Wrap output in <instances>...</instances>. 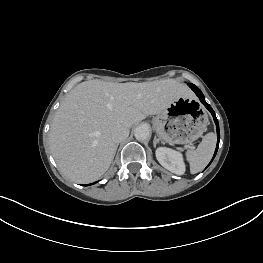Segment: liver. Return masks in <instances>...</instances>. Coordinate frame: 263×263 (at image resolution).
<instances>
[{"instance_id":"6515ba94","label":"liver","mask_w":263,"mask_h":263,"mask_svg":"<svg viewBox=\"0 0 263 263\" xmlns=\"http://www.w3.org/2000/svg\"><path fill=\"white\" fill-rule=\"evenodd\" d=\"M189 95L184 84L172 79L143 83L96 79L78 84L60 105L50 128V147L60 171L76 183L97 180L117 150L112 139L116 126L131 128Z\"/></svg>"}]
</instances>
